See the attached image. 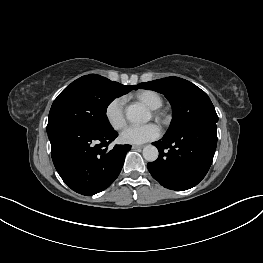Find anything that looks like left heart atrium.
<instances>
[{
  "instance_id": "1",
  "label": "left heart atrium",
  "mask_w": 263,
  "mask_h": 263,
  "mask_svg": "<svg viewBox=\"0 0 263 263\" xmlns=\"http://www.w3.org/2000/svg\"><path fill=\"white\" fill-rule=\"evenodd\" d=\"M161 135L160 127L155 123L146 125H130L120 135V139L126 144H143L155 140Z\"/></svg>"
}]
</instances>
